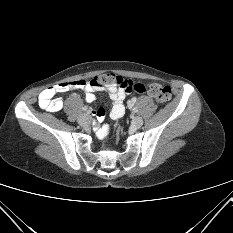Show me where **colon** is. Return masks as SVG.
Segmentation results:
<instances>
[{"instance_id":"5ec220e1","label":"colon","mask_w":233,"mask_h":233,"mask_svg":"<svg viewBox=\"0 0 233 233\" xmlns=\"http://www.w3.org/2000/svg\"><path fill=\"white\" fill-rule=\"evenodd\" d=\"M102 79L101 81L99 79ZM97 80L98 83H103L105 88L117 87L123 89L125 92H137L140 94L148 93L153 97L158 104L164 105L171 99V89L168 86L160 84H144L134 83L131 80L125 79L119 75L113 73H105L91 78Z\"/></svg>"}]
</instances>
